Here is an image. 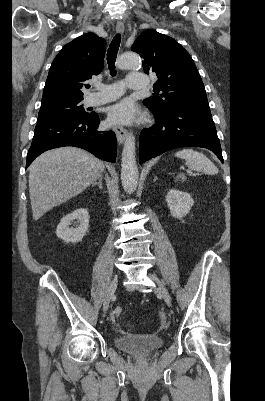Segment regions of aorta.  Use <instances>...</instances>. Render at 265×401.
<instances>
[{"mask_svg": "<svg viewBox=\"0 0 265 401\" xmlns=\"http://www.w3.org/2000/svg\"><path fill=\"white\" fill-rule=\"evenodd\" d=\"M141 64V58L135 52H123L120 56L121 68H140ZM135 156V136L130 132L124 142L121 158L122 186L128 194L134 192L138 184L139 172Z\"/></svg>", "mask_w": 265, "mask_h": 401, "instance_id": "obj_1", "label": "aorta"}]
</instances>
